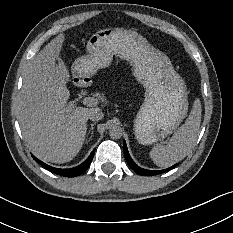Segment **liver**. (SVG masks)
Instances as JSON below:
<instances>
[{
    "instance_id": "obj_1",
    "label": "liver",
    "mask_w": 233,
    "mask_h": 233,
    "mask_svg": "<svg viewBox=\"0 0 233 233\" xmlns=\"http://www.w3.org/2000/svg\"><path fill=\"white\" fill-rule=\"evenodd\" d=\"M62 39V34L57 35L34 57L26 69L17 104L30 151L38 159L52 163L68 162L78 154L88 116L94 111L69 105L66 69L62 64L56 69L54 64Z\"/></svg>"
}]
</instances>
